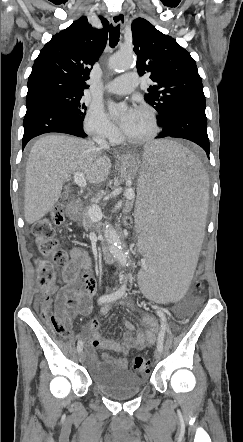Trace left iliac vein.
<instances>
[{
	"instance_id": "4c4485c4",
	"label": "left iliac vein",
	"mask_w": 243,
	"mask_h": 442,
	"mask_svg": "<svg viewBox=\"0 0 243 442\" xmlns=\"http://www.w3.org/2000/svg\"><path fill=\"white\" fill-rule=\"evenodd\" d=\"M154 357L155 359L158 361L161 358V351H159L158 349L155 350L154 352Z\"/></svg>"
}]
</instances>
